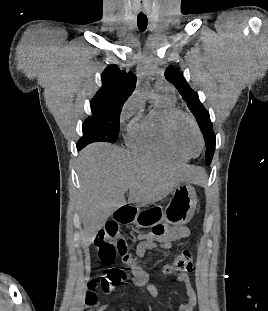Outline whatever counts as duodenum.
Returning a JSON list of instances; mask_svg holds the SVG:
<instances>
[{
  "label": "duodenum",
  "instance_id": "410a0bca",
  "mask_svg": "<svg viewBox=\"0 0 268 311\" xmlns=\"http://www.w3.org/2000/svg\"><path fill=\"white\" fill-rule=\"evenodd\" d=\"M135 211L134 208L130 205H124L117 209L115 212V218L122 223L128 221L133 215Z\"/></svg>",
  "mask_w": 268,
  "mask_h": 311
}]
</instances>
